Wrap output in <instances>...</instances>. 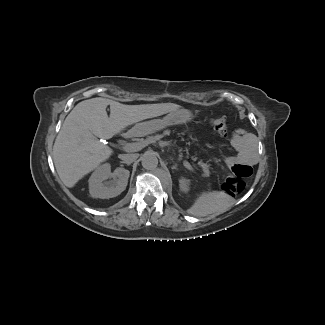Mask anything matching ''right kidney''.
Returning <instances> with one entry per match:
<instances>
[{"label":"right kidney","instance_id":"obj_1","mask_svg":"<svg viewBox=\"0 0 325 325\" xmlns=\"http://www.w3.org/2000/svg\"><path fill=\"white\" fill-rule=\"evenodd\" d=\"M130 172L117 168L111 173V166L105 163L99 166L89 178V192L94 198L109 199L120 195L127 186ZM113 178L111 181H106Z\"/></svg>","mask_w":325,"mask_h":325}]
</instances>
